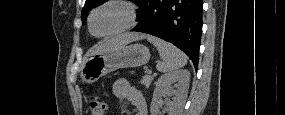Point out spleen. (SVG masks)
Segmentation results:
<instances>
[{"mask_svg":"<svg viewBox=\"0 0 285 115\" xmlns=\"http://www.w3.org/2000/svg\"><path fill=\"white\" fill-rule=\"evenodd\" d=\"M147 40L157 48L162 58L156 66L159 72H172L186 65V55L174 45L154 36H148Z\"/></svg>","mask_w":285,"mask_h":115,"instance_id":"spleen-1","label":"spleen"}]
</instances>
